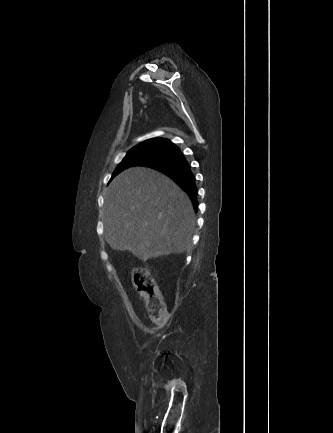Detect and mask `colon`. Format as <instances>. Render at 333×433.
<instances>
[{
    "label": "colon",
    "mask_w": 333,
    "mask_h": 433,
    "mask_svg": "<svg viewBox=\"0 0 333 433\" xmlns=\"http://www.w3.org/2000/svg\"><path fill=\"white\" fill-rule=\"evenodd\" d=\"M132 280L135 289L146 299V309L150 320L157 325H165L167 308L155 279L148 271L136 268L133 270Z\"/></svg>",
    "instance_id": "colon-1"
}]
</instances>
